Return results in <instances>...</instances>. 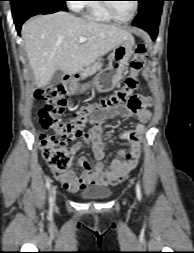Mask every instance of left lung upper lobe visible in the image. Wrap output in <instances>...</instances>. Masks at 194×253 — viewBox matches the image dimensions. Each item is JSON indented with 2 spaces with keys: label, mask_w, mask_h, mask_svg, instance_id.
<instances>
[{
  "label": "left lung upper lobe",
  "mask_w": 194,
  "mask_h": 253,
  "mask_svg": "<svg viewBox=\"0 0 194 253\" xmlns=\"http://www.w3.org/2000/svg\"><path fill=\"white\" fill-rule=\"evenodd\" d=\"M139 2V7H141L145 2L149 0H137Z\"/></svg>",
  "instance_id": "5c2ea615"
}]
</instances>
